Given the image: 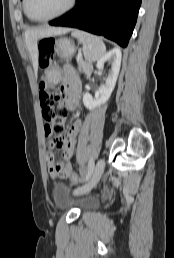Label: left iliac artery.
<instances>
[{
	"instance_id": "obj_1",
	"label": "left iliac artery",
	"mask_w": 174,
	"mask_h": 258,
	"mask_svg": "<svg viewBox=\"0 0 174 258\" xmlns=\"http://www.w3.org/2000/svg\"><path fill=\"white\" fill-rule=\"evenodd\" d=\"M93 169H94V161H93V159H90L89 164H88V172H87V175H86L84 181H87L91 177V175L93 173Z\"/></svg>"
}]
</instances>
